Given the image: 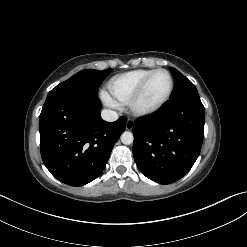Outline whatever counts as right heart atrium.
Segmentation results:
<instances>
[{
  "instance_id": "1",
  "label": "right heart atrium",
  "mask_w": 247,
  "mask_h": 247,
  "mask_svg": "<svg viewBox=\"0 0 247 247\" xmlns=\"http://www.w3.org/2000/svg\"><path fill=\"white\" fill-rule=\"evenodd\" d=\"M102 98H103V101L105 102V104L111 108H118L119 107V104L118 102L113 99L111 96H109L107 93H103L102 94Z\"/></svg>"
}]
</instances>
